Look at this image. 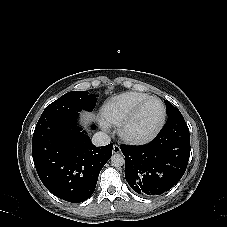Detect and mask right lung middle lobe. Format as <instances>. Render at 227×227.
I'll return each mask as SVG.
<instances>
[{
	"instance_id": "right-lung-middle-lobe-1",
	"label": "right lung middle lobe",
	"mask_w": 227,
	"mask_h": 227,
	"mask_svg": "<svg viewBox=\"0 0 227 227\" xmlns=\"http://www.w3.org/2000/svg\"><path fill=\"white\" fill-rule=\"evenodd\" d=\"M96 95L88 91H71L48 105L41 116L78 113L81 110L92 111L96 105Z\"/></svg>"
}]
</instances>
